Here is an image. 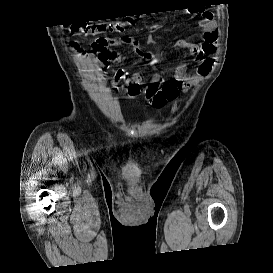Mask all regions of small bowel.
Here are the masks:
<instances>
[{
	"label": "small bowel",
	"mask_w": 273,
	"mask_h": 273,
	"mask_svg": "<svg viewBox=\"0 0 273 273\" xmlns=\"http://www.w3.org/2000/svg\"><path fill=\"white\" fill-rule=\"evenodd\" d=\"M201 34L200 42L195 43L186 39H178L174 42V49H184L190 55L195 57L196 69L194 73L187 71V65L180 63L176 66L171 79L161 85L160 77L154 76L151 80L146 81L141 73L129 74L127 71L120 69L112 77V83L125 85L126 95L130 99L143 97L146 102L153 108H162L168 102L173 101L180 93L186 92L191 87L199 83L206 77L215 62L216 46L218 31L212 14L205 12L199 20ZM160 27V24L153 25L152 30ZM77 45L76 43L74 44ZM129 45L132 51L139 57L150 61L152 59L149 53L142 51L132 37L111 38L100 37L91 45V52L99 61L101 68L104 70L110 63L120 62L123 59L122 54L116 48ZM145 84V88L141 86Z\"/></svg>",
	"instance_id": "obj_1"
}]
</instances>
